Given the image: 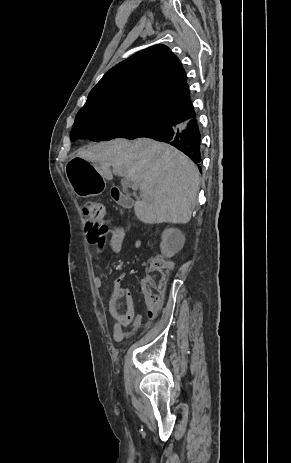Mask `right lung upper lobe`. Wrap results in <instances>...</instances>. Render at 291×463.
Masks as SVG:
<instances>
[{"mask_svg": "<svg viewBox=\"0 0 291 463\" xmlns=\"http://www.w3.org/2000/svg\"><path fill=\"white\" fill-rule=\"evenodd\" d=\"M83 108L138 109L184 122L196 116L182 64L165 45L142 50L110 69Z\"/></svg>", "mask_w": 291, "mask_h": 463, "instance_id": "obj_1", "label": "right lung upper lobe"}]
</instances>
